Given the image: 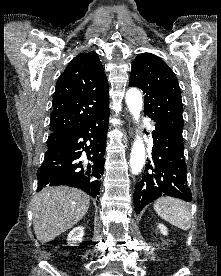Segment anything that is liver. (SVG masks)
I'll return each mask as SVG.
<instances>
[{
  "label": "liver",
  "instance_id": "1",
  "mask_svg": "<svg viewBox=\"0 0 221 276\" xmlns=\"http://www.w3.org/2000/svg\"><path fill=\"white\" fill-rule=\"evenodd\" d=\"M90 197L67 187H47L37 193L32 204L36 238L46 243L77 224L86 214Z\"/></svg>",
  "mask_w": 221,
  "mask_h": 276
}]
</instances>
